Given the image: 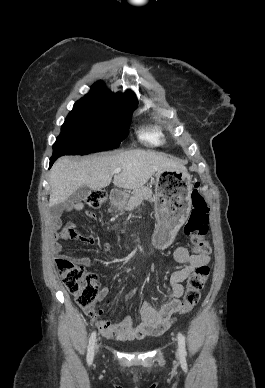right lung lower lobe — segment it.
Returning a JSON list of instances; mask_svg holds the SVG:
<instances>
[{
	"label": "right lung lower lobe",
	"mask_w": 265,
	"mask_h": 388,
	"mask_svg": "<svg viewBox=\"0 0 265 388\" xmlns=\"http://www.w3.org/2000/svg\"><path fill=\"white\" fill-rule=\"evenodd\" d=\"M58 158V156L56 155H53L52 158L50 159V167L52 166V164L54 163V161Z\"/></svg>",
	"instance_id": "obj_1"
}]
</instances>
